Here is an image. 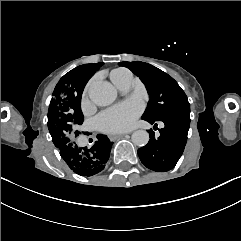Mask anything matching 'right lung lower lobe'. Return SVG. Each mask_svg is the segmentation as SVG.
Returning <instances> with one entry per match:
<instances>
[{"label":"right lung lower lobe","mask_w":241,"mask_h":241,"mask_svg":"<svg viewBox=\"0 0 241 241\" xmlns=\"http://www.w3.org/2000/svg\"><path fill=\"white\" fill-rule=\"evenodd\" d=\"M113 142L106 135H97V141L91 148L67 145L59 148L60 155L76 174L92 176L101 172L110 157Z\"/></svg>","instance_id":"obj_1"}]
</instances>
